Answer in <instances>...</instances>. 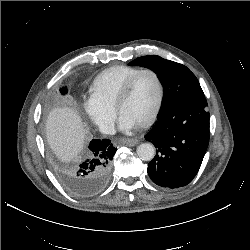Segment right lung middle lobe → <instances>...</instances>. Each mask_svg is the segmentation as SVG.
<instances>
[{
  "mask_svg": "<svg viewBox=\"0 0 250 250\" xmlns=\"http://www.w3.org/2000/svg\"><path fill=\"white\" fill-rule=\"evenodd\" d=\"M60 92L63 93V94H66L67 93V88L66 87L61 88Z\"/></svg>",
  "mask_w": 250,
  "mask_h": 250,
  "instance_id": "dd1d6c3e",
  "label": "right lung middle lobe"
}]
</instances>
